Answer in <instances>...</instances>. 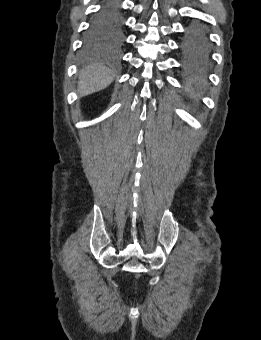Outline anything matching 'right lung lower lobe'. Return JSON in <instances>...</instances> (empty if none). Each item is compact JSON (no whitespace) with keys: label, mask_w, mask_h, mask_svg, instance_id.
<instances>
[{"label":"right lung lower lobe","mask_w":261,"mask_h":340,"mask_svg":"<svg viewBox=\"0 0 261 340\" xmlns=\"http://www.w3.org/2000/svg\"><path fill=\"white\" fill-rule=\"evenodd\" d=\"M118 3H119V0H104L100 12L107 13V14L120 13Z\"/></svg>","instance_id":"1"}]
</instances>
